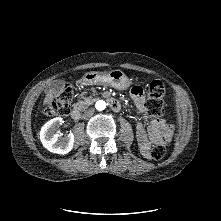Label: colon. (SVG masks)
I'll return each mask as SVG.
<instances>
[{"instance_id":"colon-1","label":"colon","mask_w":221,"mask_h":221,"mask_svg":"<svg viewBox=\"0 0 221 221\" xmlns=\"http://www.w3.org/2000/svg\"><path fill=\"white\" fill-rule=\"evenodd\" d=\"M165 86L160 80H153L148 89V98L146 107L148 111L155 116H160L164 111ZM72 90L65 87L59 94L56 101L45 107L44 113L47 116H65L71 110ZM166 153L164 143H157L149 150V157L154 160H160Z\"/></svg>"}]
</instances>
